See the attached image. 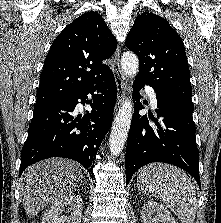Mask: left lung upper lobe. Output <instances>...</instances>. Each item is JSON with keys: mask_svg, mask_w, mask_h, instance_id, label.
Returning a JSON list of instances; mask_svg holds the SVG:
<instances>
[{"mask_svg": "<svg viewBox=\"0 0 221 223\" xmlns=\"http://www.w3.org/2000/svg\"><path fill=\"white\" fill-rule=\"evenodd\" d=\"M126 46L139 57L135 80L150 85L156 93L192 104V87L184 45L162 17L144 12L127 35Z\"/></svg>", "mask_w": 221, "mask_h": 223, "instance_id": "obj_1", "label": "left lung upper lobe"}]
</instances>
